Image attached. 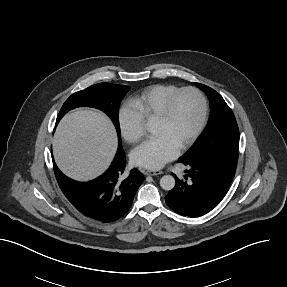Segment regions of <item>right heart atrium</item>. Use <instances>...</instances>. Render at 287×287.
<instances>
[{
  "mask_svg": "<svg viewBox=\"0 0 287 287\" xmlns=\"http://www.w3.org/2000/svg\"><path fill=\"white\" fill-rule=\"evenodd\" d=\"M118 125L121 136L128 143H136L144 136V123L129 107H122L118 112Z\"/></svg>",
  "mask_w": 287,
  "mask_h": 287,
  "instance_id": "d8ad5b80",
  "label": "right heart atrium"
}]
</instances>
